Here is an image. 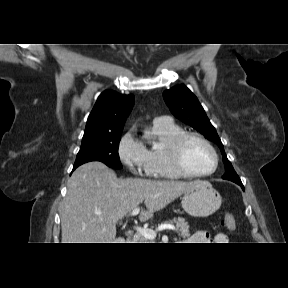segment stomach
Wrapping results in <instances>:
<instances>
[{
  "mask_svg": "<svg viewBox=\"0 0 288 288\" xmlns=\"http://www.w3.org/2000/svg\"><path fill=\"white\" fill-rule=\"evenodd\" d=\"M220 194L207 181H197L182 197V207L193 217H207L221 206Z\"/></svg>",
  "mask_w": 288,
  "mask_h": 288,
  "instance_id": "stomach-1",
  "label": "stomach"
}]
</instances>
